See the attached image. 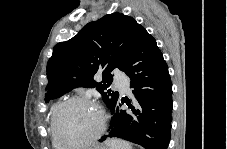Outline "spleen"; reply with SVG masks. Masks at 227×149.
<instances>
[{
    "label": "spleen",
    "mask_w": 227,
    "mask_h": 149,
    "mask_svg": "<svg viewBox=\"0 0 227 149\" xmlns=\"http://www.w3.org/2000/svg\"><path fill=\"white\" fill-rule=\"evenodd\" d=\"M110 149H132V146L127 141L121 139H111L107 141Z\"/></svg>",
    "instance_id": "1"
}]
</instances>
